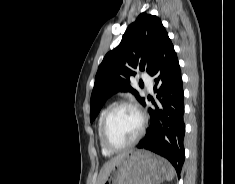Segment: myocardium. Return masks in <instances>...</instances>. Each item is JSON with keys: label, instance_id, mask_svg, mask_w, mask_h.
Instances as JSON below:
<instances>
[{"label": "myocardium", "instance_id": "f54148a6", "mask_svg": "<svg viewBox=\"0 0 235 184\" xmlns=\"http://www.w3.org/2000/svg\"><path fill=\"white\" fill-rule=\"evenodd\" d=\"M121 107H130L138 113V115L140 117V127L138 130V133L131 141H129L126 144H122V145H114L110 142V140L108 138L109 122H110V118H111L112 114L114 113V111H116L117 109H119ZM147 122H148V119H147L146 114L138 105H136L132 102H129V101H120V102L113 104L106 111L105 116L103 118V122H102L100 138H101V143H102L103 147L111 153H119V152L123 151L124 149H127V148L134 146L142 138V136L145 132L146 126H147Z\"/></svg>", "mask_w": 235, "mask_h": 184}]
</instances>
